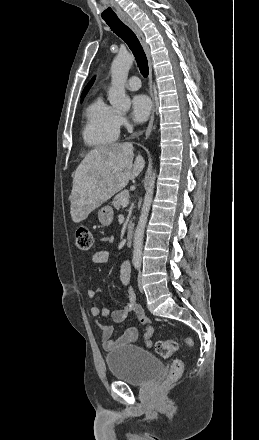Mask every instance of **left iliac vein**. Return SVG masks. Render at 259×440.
<instances>
[{"mask_svg": "<svg viewBox=\"0 0 259 440\" xmlns=\"http://www.w3.org/2000/svg\"><path fill=\"white\" fill-rule=\"evenodd\" d=\"M138 288H139L140 292H142V293L144 292L142 275H141L140 272H139V275H138Z\"/></svg>", "mask_w": 259, "mask_h": 440, "instance_id": "1", "label": "left iliac vein"}]
</instances>
